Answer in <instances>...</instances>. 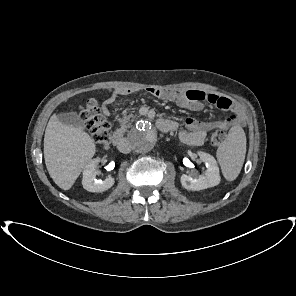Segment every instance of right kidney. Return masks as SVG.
<instances>
[{
    "mask_svg": "<svg viewBox=\"0 0 296 296\" xmlns=\"http://www.w3.org/2000/svg\"><path fill=\"white\" fill-rule=\"evenodd\" d=\"M100 158L90 160L83 170L82 184L83 188L89 192H104L114 185V178L107 177L104 181L96 178V167Z\"/></svg>",
    "mask_w": 296,
    "mask_h": 296,
    "instance_id": "right-kidney-1",
    "label": "right kidney"
}]
</instances>
